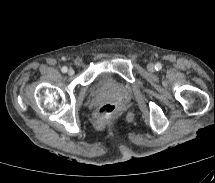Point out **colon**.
Listing matches in <instances>:
<instances>
[{"instance_id": "colon-1", "label": "colon", "mask_w": 215, "mask_h": 183, "mask_svg": "<svg viewBox=\"0 0 215 183\" xmlns=\"http://www.w3.org/2000/svg\"><path fill=\"white\" fill-rule=\"evenodd\" d=\"M116 114L117 106L114 104H107L95 112L93 120L97 124H102L113 119Z\"/></svg>"}]
</instances>
